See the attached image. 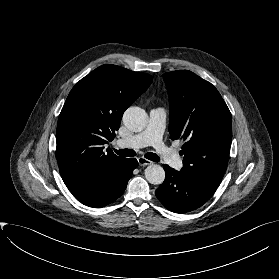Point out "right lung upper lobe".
I'll use <instances>...</instances> for the list:
<instances>
[{
	"label": "right lung upper lobe",
	"mask_w": 279,
	"mask_h": 279,
	"mask_svg": "<svg viewBox=\"0 0 279 279\" xmlns=\"http://www.w3.org/2000/svg\"><path fill=\"white\" fill-rule=\"evenodd\" d=\"M152 76L105 64L75 84L59 115L56 142L61 177L80 195L117 171L127 158L104 153L124 111L147 90Z\"/></svg>",
	"instance_id": "cb5924a9"
}]
</instances>
